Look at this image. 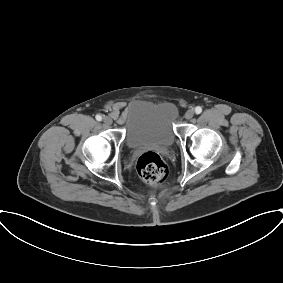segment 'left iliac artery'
I'll return each instance as SVG.
<instances>
[{
  "label": "left iliac artery",
  "instance_id": "obj_1",
  "mask_svg": "<svg viewBox=\"0 0 283 283\" xmlns=\"http://www.w3.org/2000/svg\"><path fill=\"white\" fill-rule=\"evenodd\" d=\"M202 112V108L200 107V106H197L196 108H195V113L196 114H200Z\"/></svg>",
  "mask_w": 283,
  "mask_h": 283
}]
</instances>
